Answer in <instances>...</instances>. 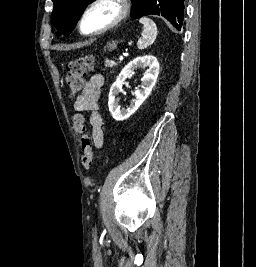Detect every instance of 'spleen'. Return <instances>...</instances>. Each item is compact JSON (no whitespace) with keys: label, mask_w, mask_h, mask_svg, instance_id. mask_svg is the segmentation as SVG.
<instances>
[{"label":"spleen","mask_w":256,"mask_h":267,"mask_svg":"<svg viewBox=\"0 0 256 267\" xmlns=\"http://www.w3.org/2000/svg\"><path fill=\"white\" fill-rule=\"evenodd\" d=\"M140 24H143L142 38L138 40L137 46L139 50H145L148 46H152L157 38V26L150 18H140Z\"/></svg>","instance_id":"obj_1"}]
</instances>
